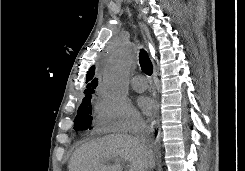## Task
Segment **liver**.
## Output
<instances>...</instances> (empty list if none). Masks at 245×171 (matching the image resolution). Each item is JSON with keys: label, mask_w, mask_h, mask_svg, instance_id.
I'll list each match as a JSON object with an SVG mask.
<instances>
[{"label": "liver", "mask_w": 245, "mask_h": 171, "mask_svg": "<svg viewBox=\"0 0 245 171\" xmlns=\"http://www.w3.org/2000/svg\"><path fill=\"white\" fill-rule=\"evenodd\" d=\"M116 159L128 161L129 171H147L155 165L154 154L148 159L137 138L114 134L84 143L73 153L68 168L69 171H122L119 162L108 164Z\"/></svg>", "instance_id": "obj_1"}]
</instances>
